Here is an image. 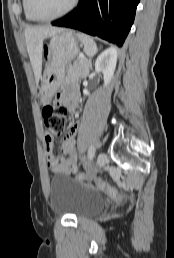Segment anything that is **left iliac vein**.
Wrapping results in <instances>:
<instances>
[{
	"mask_svg": "<svg viewBox=\"0 0 174 258\" xmlns=\"http://www.w3.org/2000/svg\"><path fill=\"white\" fill-rule=\"evenodd\" d=\"M106 162H107V155L105 153H100L97 156V160H96L97 166L99 168H102L105 166Z\"/></svg>",
	"mask_w": 174,
	"mask_h": 258,
	"instance_id": "4c4485c4",
	"label": "left iliac vein"
}]
</instances>
